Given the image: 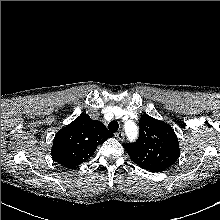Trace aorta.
<instances>
[{"instance_id": "762f6f07", "label": "aorta", "mask_w": 220, "mask_h": 220, "mask_svg": "<svg viewBox=\"0 0 220 220\" xmlns=\"http://www.w3.org/2000/svg\"><path fill=\"white\" fill-rule=\"evenodd\" d=\"M124 129H125V132L127 134V137L130 139V140H135L138 136V127L137 125L129 120V121H126L125 124H124Z\"/></svg>"}]
</instances>
